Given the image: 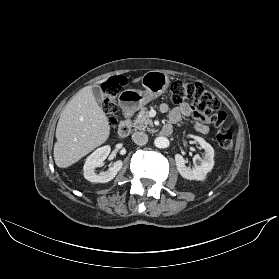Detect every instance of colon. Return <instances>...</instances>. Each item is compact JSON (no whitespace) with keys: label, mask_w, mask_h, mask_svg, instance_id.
<instances>
[{"label":"colon","mask_w":279,"mask_h":279,"mask_svg":"<svg viewBox=\"0 0 279 279\" xmlns=\"http://www.w3.org/2000/svg\"><path fill=\"white\" fill-rule=\"evenodd\" d=\"M125 85L123 77L111 78L103 84L102 108L111 127L118 124L116 97ZM169 98L174 104L189 103L195 118L218 128L215 138L219 146L225 150L233 147L232 131L222 127L226 113L221 109L220 100L210 90L198 83L175 81L171 84Z\"/></svg>","instance_id":"5ec220e1"}]
</instances>
